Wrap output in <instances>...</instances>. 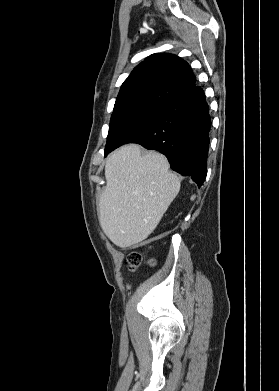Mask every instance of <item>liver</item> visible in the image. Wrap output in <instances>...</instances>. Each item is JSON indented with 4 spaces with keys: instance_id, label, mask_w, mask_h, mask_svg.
<instances>
[{
    "instance_id": "6515ba94",
    "label": "liver",
    "mask_w": 279,
    "mask_h": 391,
    "mask_svg": "<svg viewBox=\"0 0 279 391\" xmlns=\"http://www.w3.org/2000/svg\"><path fill=\"white\" fill-rule=\"evenodd\" d=\"M169 168L164 155L143 153L137 144L124 146L108 158L99 222L116 246L136 245L156 229L180 190V179Z\"/></svg>"
}]
</instances>
